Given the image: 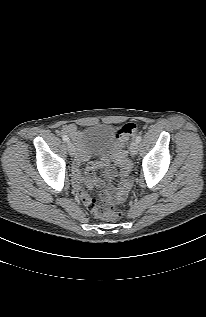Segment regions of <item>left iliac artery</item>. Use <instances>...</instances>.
I'll list each match as a JSON object with an SVG mask.
<instances>
[{"label":"left iliac artery","mask_w":206,"mask_h":317,"mask_svg":"<svg viewBox=\"0 0 206 317\" xmlns=\"http://www.w3.org/2000/svg\"><path fill=\"white\" fill-rule=\"evenodd\" d=\"M141 140H142L141 136L138 135V136L136 137V142L139 143V142H141Z\"/></svg>","instance_id":"left-iliac-artery-1"}]
</instances>
